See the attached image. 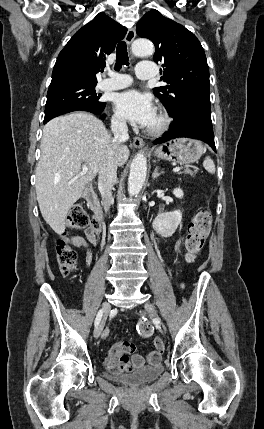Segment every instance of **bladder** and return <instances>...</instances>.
Returning <instances> with one entry per match:
<instances>
[{
    "instance_id": "obj_1",
    "label": "bladder",
    "mask_w": 264,
    "mask_h": 429,
    "mask_svg": "<svg viewBox=\"0 0 264 429\" xmlns=\"http://www.w3.org/2000/svg\"><path fill=\"white\" fill-rule=\"evenodd\" d=\"M164 371L161 360L137 371L127 373L104 372L103 375L112 381L129 387H140L158 379Z\"/></svg>"
}]
</instances>
